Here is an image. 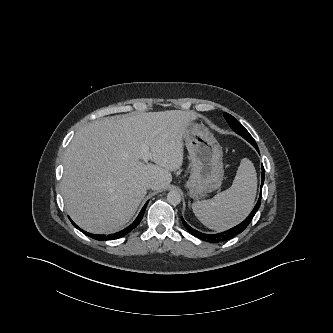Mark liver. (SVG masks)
I'll return each instance as SVG.
<instances>
[{
	"label": "liver",
	"instance_id": "obj_1",
	"mask_svg": "<svg viewBox=\"0 0 333 333\" xmlns=\"http://www.w3.org/2000/svg\"><path fill=\"white\" fill-rule=\"evenodd\" d=\"M180 110L95 120L73 137L64 157L65 208L82 229L112 233L128 223L147 194L162 190L183 164V138L195 120ZM148 147L152 163L142 159Z\"/></svg>",
	"mask_w": 333,
	"mask_h": 333
}]
</instances>
